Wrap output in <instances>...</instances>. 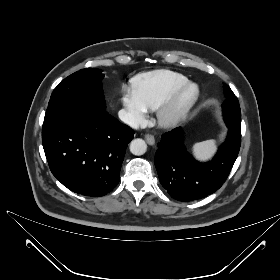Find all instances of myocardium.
<instances>
[{
	"label": "myocardium",
	"mask_w": 280,
	"mask_h": 280,
	"mask_svg": "<svg viewBox=\"0 0 280 280\" xmlns=\"http://www.w3.org/2000/svg\"><path fill=\"white\" fill-rule=\"evenodd\" d=\"M200 89L195 82H187L176 88L156 109L159 126L171 128L187 118L197 103Z\"/></svg>",
	"instance_id": "1"
}]
</instances>
